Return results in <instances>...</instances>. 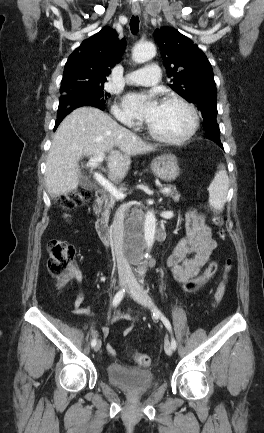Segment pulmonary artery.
Listing matches in <instances>:
<instances>
[{
	"mask_svg": "<svg viewBox=\"0 0 264 433\" xmlns=\"http://www.w3.org/2000/svg\"><path fill=\"white\" fill-rule=\"evenodd\" d=\"M161 71L157 64H149L147 67L135 70L125 78L126 83L131 85L151 86L160 79Z\"/></svg>",
	"mask_w": 264,
	"mask_h": 433,
	"instance_id": "obj_1",
	"label": "pulmonary artery"
}]
</instances>
